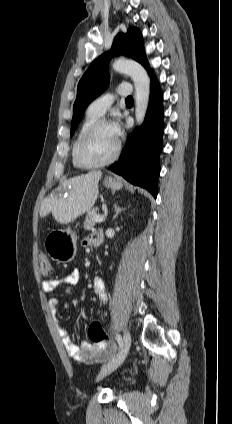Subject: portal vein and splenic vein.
<instances>
[{
    "label": "portal vein and splenic vein",
    "mask_w": 232,
    "mask_h": 424,
    "mask_svg": "<svg viewBox=\"0 0 232 424\" xmlns=\"http://www.w3.org/2000/svg\"><path fill=\"white\" fill-rule=\"evenodd\" d=\"M107 216V214H105V216H96L95 218H94V221L95 222H98V223H101V222H103V221H105V217Z\"/></svg>",
    "instance_id": "portal-vein-and-splenic-vein-1"
}]
</instances>
